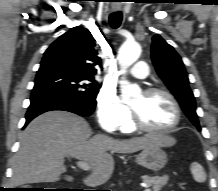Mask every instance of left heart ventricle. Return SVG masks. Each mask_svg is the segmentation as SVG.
<instances>
[{"label":"left heart ventricle","mask_w":218,"mask_h":191,"mask_svg":"<svg viewBox=\"0 0 218 191\" xmlns=\"http://www.w3.org/2000/svg\"><path fill=\"white\" fill-rule=\"evenodd\" d=\"M130 106L142 122L151 128H166L175 120V110L163 95L146 96L142 93Z\"/></svg>","instance_id":"b2bd125f"}]
</instances>
